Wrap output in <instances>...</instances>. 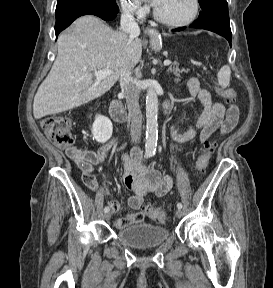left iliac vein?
Returning a JSON list of instances; mask_svg holds the SVG:
<instances>
[{
    "mask_svg": "<svg viewBox=\"0 0 273 288\" xmlns=\"http://www.w3.org/2000/svg\"><path fill=\"white\" fill-rule=\"evenodd\" d=\"M175 215L177 218H180L183 216V211L181 209H177L176 212H175Z\"/></svg>",
    "mask_w": 273,
    "mask_h": 288,
    "instance_id": "left-iliac-vein-1",
    "label": "left iliac vein"
}]
</instances>
